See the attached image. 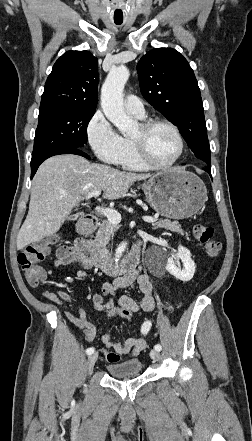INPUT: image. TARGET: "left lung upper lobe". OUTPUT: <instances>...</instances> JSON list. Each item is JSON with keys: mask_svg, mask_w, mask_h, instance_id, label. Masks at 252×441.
<instances>
[{"mask_svg": "<svg viewBox=\"0 0 252 441\" xmlns=\"http://www.w3.org/2000/svg\"><path fill=\"white\" fill-rule=\"evenodd\" d=\"M137 71L144 98L179 128L196 157L210 164L200 89L187 60L175 49L155 48L140 59Z\"/></svg>", "mask_w": 252, "mask_h": 441, "instance_id": "obj_1", "label": "left lung upper lobe"}]
</instances>
